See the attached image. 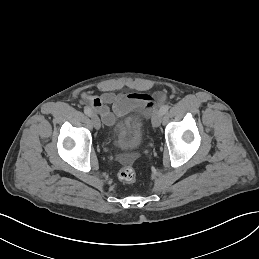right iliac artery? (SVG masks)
<instances>
[{
	"label": "right iliac artery",
	"mask_w": 259,
	"mask_h": 259,
	"mask_svg": "<svg viewBox=\"0 0 259 259\" xmlns=\"http://www.w3.org/2000/svg\"><path fill=\"white\" fill-rule=\"evenodd\" d=\"M84 113H85L86 115H88V116H91V115H92V111H91V109L88 108V107H85V108H84Z\"/></svg>",
	"instance_id": "1"
}]
</instances>
